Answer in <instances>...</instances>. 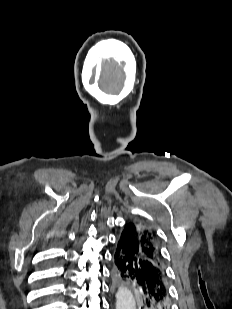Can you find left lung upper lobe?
I'll list each match as a JSON object with an SVG mask.
<instances>
[{
    "mask_svg": "<svg viewBox=\"0 0 232 309\" xmlns=\"http://www.w3.org/2000/svg\"><path fill=\"white\" fill-rule=\"evenodd\" d=\"M128 225L133 230L142 253L152 261L163 266L157 235L154 230L141 221H130Z\"/></svg>",
    "mask_w": 232,
    "mask_h": 309,
    "instance_id": "obj_1",
    "label": "left lung upper lobe"
}]
</instances>
